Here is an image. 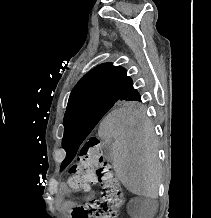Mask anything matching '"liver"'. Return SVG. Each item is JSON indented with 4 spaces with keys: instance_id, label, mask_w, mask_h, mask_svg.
Here are the masks:
<instances>
[{
    "instance_id": "1",
    "label": "liver",
    "mask_w": 211,
    "mask_h": 218,
    "mask_svg": "<svg viewBox=\"0 0 211 218\" xmlns=\"http://www.w3.org/2000/svg\"><path fill=\"white\" fill-rule=\"evenodd\" d=\"M98 136L112 150V166L121 184L137 196L157 198L161 178L158 140L145 112L113 110L102 120Z\"/></svg>"
}]
</instances>
